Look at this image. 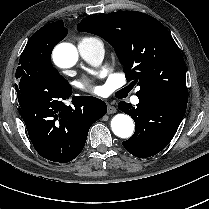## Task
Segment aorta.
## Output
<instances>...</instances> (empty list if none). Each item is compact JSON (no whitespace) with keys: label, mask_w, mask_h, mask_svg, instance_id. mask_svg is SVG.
<instances>
[{"label":"aorta","mask_w":209,"mask_h":209,"mask_svg":"<svg viewBox=\"0 0 209 209\" xmlns=\"http://www.w3.org/2000/svg\"><path fill=\"white\" fill-rule=\"evenodd\" d=\"M53 60L61 68H69L76 64L78 52L70 43H61L53 51ZM113 133L120 138H129L134 132V122L126 114H117L111 120Z\"/></svg>","instance_id":"obj_1"}]
</instances>
